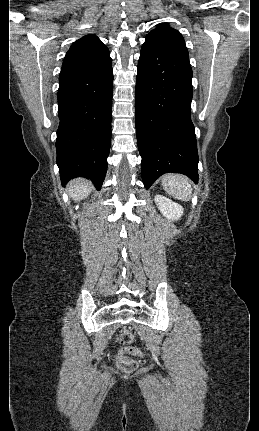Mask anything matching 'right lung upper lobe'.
<instances>
[{
	"mask_svg": "<svg viewBox=\"0 0 259 431\" xmlns=\"http://www.w3.org/2000/svg\"><path fill=\"white\" fill-rule=\"evenodd\" d=\"M110 64L108 48L95 35H86L66 53L59 79L101 70Z\"/></svg>",
	"mask_w": 259,
	"mask_h": 431,
	"instance_id": "right-lung-upper-lobe-1",
	"label": "right lung upper lobe"
}]
</instances>
